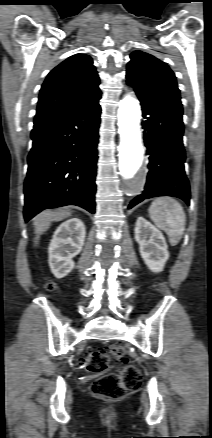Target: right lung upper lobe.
<instances>
[{"label": "right lung upper lobe", "mask_w": 212, "mask_h": 438, "mask_svg": "<svg viewBox=\"0 0 212 438\" xmlns=\"http://www.w3.org/2000/svg\"><path fill=\"white\" fill-rule=\"evenodd\" d=\"M100 80L89 55L69 57L44 81L37 114H46L92 104L101 98Z\"/></svg>", "instance_id": "cb5924a9"}]
</instances>
